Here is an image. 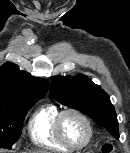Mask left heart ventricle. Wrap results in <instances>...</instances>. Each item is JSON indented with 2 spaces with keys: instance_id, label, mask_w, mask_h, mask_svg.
I'll return each mask as SVG.
<instances>
[{
  "instance_id": "left-heart-ventricle-1",
  "label": "left heart ventricle",
  "mask_w": 130,
  "mask_h": 153,
  "mask_svg": "<svg viewBox=\"0 0 130 153\" xmlns=\"http://www.w3.org/2000/svg\"><path fill=\"white\" fill-rule=\"evenodd\" d=\"M62 131L66 139L74 145L83 144L88 134L85 123L74 114H67L63 118Z\"/></svg>"
}]
</instances>
